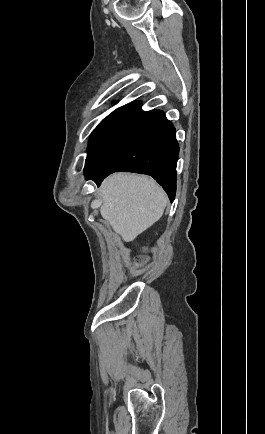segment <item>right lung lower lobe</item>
I'll return each mask as SVG.
<instances>
[{"instance_id":"right-lung-lower-lobe-1","label":"right lung lower lobe","mask_w":265,"mask_h":434,"mask_svg":"<svg viewBox=\"0 0 265 434\" xmlns=\"http://www.w3.org/2000/svg\"><path fill=\"white\" fill-rule=\"evenodd\" d=\"M141 105L131 102L106 118L89 149L84 175L99 186L116 171L148 174L172 202L179 155L175 128L162 111H143Z\"/></svg>"}]
</instances>
